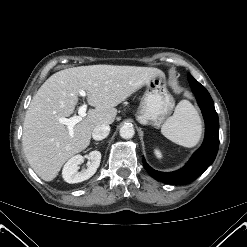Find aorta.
Instances as JSON below:
<instances>
[{
    "label": "aorta",
    "mask_w": 247,
    "mask_h": 247,
    "mask_svg": "<svg viewBox=\"0 0 247 247\" xmlns=\"http://www.w3.org/2000/svg\"><path fill=\"white\" fill-rule=\"evenodd\" d=\"M120 136L124 139L132 138L135 134L134 127L130 124L123 125L120 128Z\"/></svg>",
    "instance_id": "aorta-1"
}]
</instances>
